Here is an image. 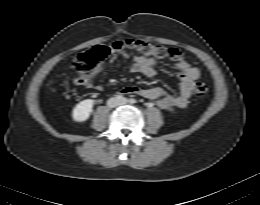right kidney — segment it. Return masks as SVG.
Instances as JSON below:
<instances>
[{
    "mask_svg": "<svg viewBox=\"0 0 260 205\" xmlns=\"http://www.w3.org/2000/svg\"><path fill=\"white\" fill-rule=\"evenodd\" d=\"M94 102L92 99H86L79 102L72 111V118L76 122L86 121L93 111Z\"/></svg>",
    "mask_w": 260,
    "mask_h": 205,
    "instance_id": "1",
    "label": "right kidney"
}]
</instances>
